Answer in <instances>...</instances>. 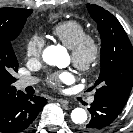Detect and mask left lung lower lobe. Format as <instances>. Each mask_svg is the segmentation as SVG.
<instances>
[{"label": "left lung lower lobe", "instance_id": "left-lung-lower-lobe-1", "mask_svg": "<svg viewBox=\"0 0 133 133\" xmlns=\"http://www.w3.org/2000/svg\"><path fill=\"white\" fill-rule=\"evenodd\" d=\"M124 106L103 95H95L89 108L91 120L82 130L84 133H98L104 130L118 117Z\"/></svg>", "mask_w": 133, "mask_h": 133}]
</instances>
